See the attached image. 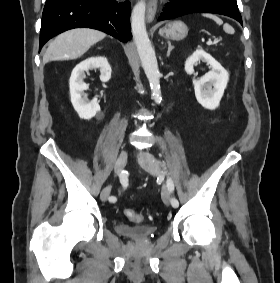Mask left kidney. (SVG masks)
Returning a JSON list of instances; mask_svg holds the SVG:
<instances>
[{
  "mask_svg": "<svg viewBox=\"0 0 280 283\" xmlns=\"http://www.w3.org/2000/svg\"><path fill=\"white\" fill-rule=\"evenodd\" d=\"M206 62L211 66V71L200 79H193L195 96L199 104L206 109H216L224 94L229 80L228 72L211 55L202 49L196 50L185 62L187 74L194 73V65L199 62Z\"/></svg>",
  "mask_w": 280,
  "mask_h": 283,
  "instance_id": "1",
  "label": "left kidney"
}]
</instances>
